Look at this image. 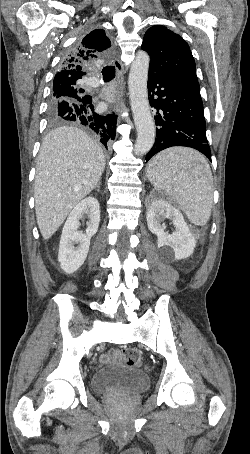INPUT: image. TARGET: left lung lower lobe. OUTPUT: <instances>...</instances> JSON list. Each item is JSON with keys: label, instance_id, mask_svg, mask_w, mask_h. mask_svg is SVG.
<instances>
[{"label": "left lung lower lobe", "instance_id": "1", "mask_svg": "<svg viewBox=\"0 0 250 454\" xmlns=\"http://www.w3.org/2000/svg\"><path fill=\"white\" fill-rule=\"evenodd\" d=\"M147 87L150 105L157 110V138L146 155V162L172 146L194 148L211 160L198 81L149 71Z\"/></svg>", "mask_w": 250, "mask_h": 454}]
</instances>
